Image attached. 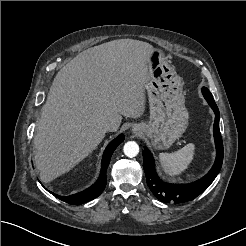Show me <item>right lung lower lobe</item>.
Segmentation results:
<instances>
[{
  "instance_id": "98d812e1",
  "label": "right lung lower lobe",
  "mask_w": 246,
  "mask_h": 246,
  "mask_svg": "<svg viewBox=\"0 0 246 246\" xmlns=\"http://www.w3.org/2000/svg\"><path fill=\"white\" fill-rule=\"evenodd\" d=\"M124 141V135L121 134L118 136L116 139H114L105 149V152L103 154L102 158V166H101V172L98 180L96 181L95 184H93L91 187L88 189L77 193L73 194L70 196H59L57 194H53L55 197L59 198L60 200L72 204V205H80L82 203L88 202L90 200H93L94 198L98 197L102 191L104 190L106 183H107V178H106V170L109 165L111 156L114 152V150L119 146Z\"/></svg>"
}]
</instances>
